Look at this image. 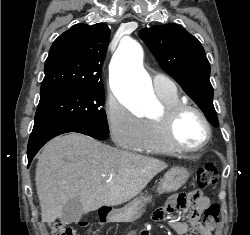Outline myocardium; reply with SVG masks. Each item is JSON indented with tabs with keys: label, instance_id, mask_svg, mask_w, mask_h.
Masks as SVG:
<instances>
[{
	"label": "myocardium",
	"instance_id": "myocardium-1",
	"mask_svg": "<svg viewBox=\"0 0 250 235\" xmlns=\"http://www.w3.org/2000/svg\"><path fill=\"white\" fill-rule=\"evenodd\" d=\"M188 111L195 112L197 115H199V117L202 119L204 123L205 130H206V134H205L203 141L195 147L183 146L182 144L178 142L176 135H175L176 124L178 122L179 117L183 113L188 112ZM158 120L162 122L163 134H164L166 141L175 151L183 152V153L199 152L202 149H204L211 140L212 126H211L210 120L208 119L205 112L197 105L184 103V102H178L177 104L173 106L164 107L162 110V113L158 117Z\"/></svg>",
	"mask_w": 250,
	"mask_h": 235
}]
</instances>
